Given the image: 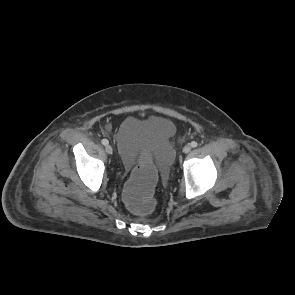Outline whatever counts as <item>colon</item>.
Masks as SVG:
<instances>
[{
	"label": "colon",
	"instance_id": "obj_1",
	"mask_svg": "<svg viewBox=\"0 0 295 295\" xmlns=\"http://www.w3.org/2000/svg\"><path fill=\"white\" fill-rule=\"evenodd\" d=\"M157 167L150 160H141L135 167L123 189L128 209L141 217H150L157 210L153 194L157 190Z\"/></svg>",
	"mask_w": 295,
	"mask_h": 295
}]
</instances>
